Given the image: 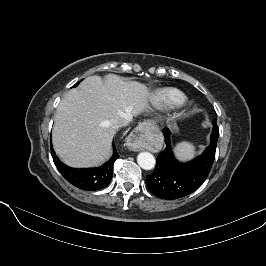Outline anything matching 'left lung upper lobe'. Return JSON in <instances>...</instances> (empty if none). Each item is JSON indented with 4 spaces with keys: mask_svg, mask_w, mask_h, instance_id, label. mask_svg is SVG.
Listing matches in <instances>:
<instances>
[{
    "mask_svg": "<svg viewBox=\"0 0 266 266\" xmlns=\"http://www.w3.org/2000/svg\"><path fill=\"white\" fill-rule=\"evenodd\" d=\"M212 124H213V130H212V134H211V139H218L219 129H218L217 124H216V119H214L212 121Z\"/></svg>",
    "mask_w": 266,
    "mask_h": 266,
    "instance_id": "obj_1",
    "label": "left lung upper lobe"
}]
</instances>
